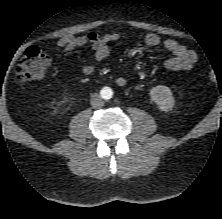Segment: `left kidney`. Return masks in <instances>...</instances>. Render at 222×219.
<instances>
[{"label":"left kidney","mask_w":222,"mask_h":219,"mask_svg":"<svg viewBox=\"0 0 222 219\" xmlns=\"http://www.w3.org/2000/svg\"><path fill=\"white\" fill-rule=\"evenodd\" d=\"M151 99L158 105L161 111H170L175 105L174 96L169 87L158 85L150 90Z\"/></svg>","instance_id":"1"}]
</instances>
